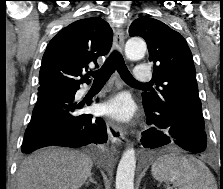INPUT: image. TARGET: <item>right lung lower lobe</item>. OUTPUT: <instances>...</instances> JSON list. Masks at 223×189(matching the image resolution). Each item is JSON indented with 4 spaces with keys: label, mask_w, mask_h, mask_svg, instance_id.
<instances>
[{
    "label": "right lung lower lobe",
    "mask_w": 223,
    "mask_h": 189,
    "mask_svg": "<svg viewBox=\"0 0 223 189\" xmlns=\"http://www.w3.org/2000/svg\"><path fill=\"white\" fill-rule=\"evenodd\" d=\"M78 89L38 92L32 118L24 135L23 153L51 145L77 148L107 141L103 119L78 113L85 104L75 101Z\"/></svg>",
    "instance_id": "obj_1"
}]
</instances>
